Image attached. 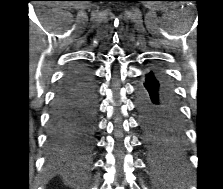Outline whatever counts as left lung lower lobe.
I'll return each mask as SVG.
<instances>
[{
	"label": "left lung lower lobe",
	"instance_id": "1",
	"mask_svg": "<svg viewBox=\"0 0 223 189\" xmlns=\"http://www.w3.org/2000/svg\"><path fill=\"white\" fill-rule=\"evenodd\" d=\"M141 125L161 127L182 136L183 124L173 86L160 70L146 73L137 87Z\"/></svg>",
	"mask_w": 223,
	"mask_h": 189
}]
</instances>
